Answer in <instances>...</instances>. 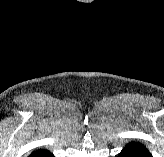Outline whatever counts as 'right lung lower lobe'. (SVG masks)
Wrapping results in <instances>:
<instances>
[{
	"label": "right lung lower lobe",
	"mask_w": 164,
	"mask_h": 157,
	"mask_svg": "<svg viewBox=\"0 0 164 157\" xmlns=\"http://www.w3.org/2000/svg\"><path fill=\"white\" fill-rule=\"evenodd\" d=\"M29 157H54L52 153L45 149H37L33 151Z\"/></svg>",
	"instance_id": "98d812e1"
}]
</instances>
